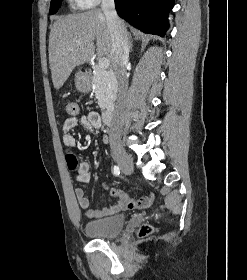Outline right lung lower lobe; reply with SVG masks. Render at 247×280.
<instances>
[{
    "mask_svg": "<svg viewBox=\"0 0 247 280\" xmlns=\"http://www.w3.org/2000/svg\"><path fill=\"white\" fill-rule=\"evenodd\" d=\"M120 17L143 32L164 36L173 0H115Z\"/></svg>",
    "mask_w": 247,
    "mask_h": 280,
    "instance_id": "1",
    "label": "right lung lower lobe"
}]
</instances>
